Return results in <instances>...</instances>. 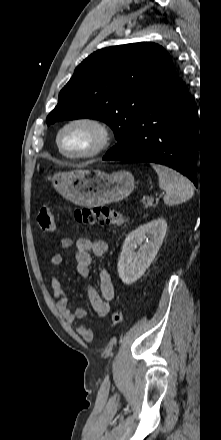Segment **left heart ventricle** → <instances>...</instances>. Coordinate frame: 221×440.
Instances as JSON below:
<instances>
[{
  "label": "left heart ventricle",
  "mask_w": 221,
  "mask_h": 440,
  "mask_svg": "<svg viewBox=\"0 0 221 440\" xmlns=\"http://www.w3.org/2000/svg\"><path fill=\"white\" fill-rule=\"evenodd\" d=\"M96 143V134L88 127L73 126L61 137V146L66 152L80 153L89 150Z\"/></svg>",
  "instance_id": "b2bd125f"
}]
</instances>
